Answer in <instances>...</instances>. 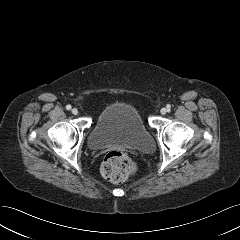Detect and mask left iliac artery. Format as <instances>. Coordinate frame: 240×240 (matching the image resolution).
<instances>
[{
	"label": "left iliac artery",
	"mask_w": 240,
	"mask_h": 240,
	"mask_svg": "<svg viewBox=\"0 0 240 240\" xmlns=\"http://www.w3.org/2000/svg\"><path fill=\"white\" fill-rule=\"evenodd\" d=\"M166 107H167V109H168V110H170V108H171V105H170V104H168Z\"/></svg>",
	"instance_id": "left-iliac-artery-1"
}]
</instances>
